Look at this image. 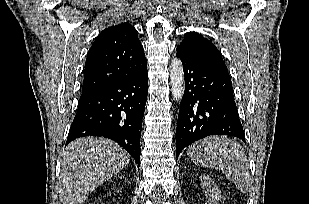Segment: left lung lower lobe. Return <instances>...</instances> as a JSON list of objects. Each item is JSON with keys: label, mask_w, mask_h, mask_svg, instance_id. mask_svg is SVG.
Instances as JSON below:
<instances>
[{"label": "left lung lower lobe", "mask_w": 309, "mask_h": 204, "mask_svg": "<svg viewBox=\"0 0 309 204\" xmlns=\"http://www.w3.org/2000/svg\"><path fill=\"white\" fill-rule=\"evenodd\" d=\"M183 64L185 92L176 129V156L191 143L210 135L245 136L228 72L177 50Z\"/></svg>", "instance_id": "1"}]
</instances>
